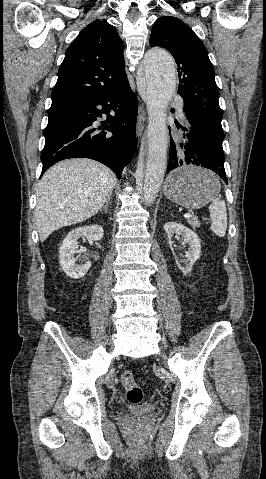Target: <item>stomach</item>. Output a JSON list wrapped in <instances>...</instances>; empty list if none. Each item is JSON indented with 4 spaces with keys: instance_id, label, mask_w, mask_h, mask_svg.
<instances>
[{
    "instance_id": "obj_1",
    "label": "stomach",
    "mask_w": 266,
    "mask_h": 479,
    "mask_svg": "<svg viewBox=\"0 0 266 479\" xmlns=\"http://www.w3.org/2000/svg\"><path fill=\"white\" fill-rule=\"evenodd\" d=\"M165 196L189 209H199L220 192V182L211 171L200 166H183L172 171L164 185Z\"/></svg>"
}]
</instances>
